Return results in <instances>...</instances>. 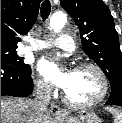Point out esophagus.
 <instances>
[{"instance_id":"34e87169","label":"esophagus","mask_w":122,"mask_h":123,"mask_svg":"<svg viewBox=\"0 0 122 123\" xmlns=\"http://www.w3.org/2000/svg\"><path fill=\"white\" fill-rule=\"evenodd\" d=\"M50 112L57 116H64L66 113L58 105L52 103L50 105Z\"/></svg>"}]
</instances>
